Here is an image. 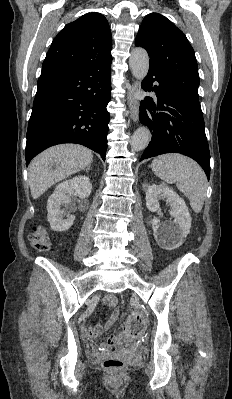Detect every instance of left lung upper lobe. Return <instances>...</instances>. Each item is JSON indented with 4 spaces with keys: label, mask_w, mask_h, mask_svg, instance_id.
Listing matches in <instances>:
<instances>
[{
    "label": "left lung upper lobe",
    "mask_w": 232,
    "mask_h": 399,
    "mask_svg": "<svg viewBox=\"0 0 232 399\" xmlns=\"http://www.w3.org/2000/svg\"><path fill=\"white\" fill-rule=\"evenodd\" d=\"M135 45L147 50L150 69L162 75L189 104L202 112L197 61L184 33L166 17L151 13L143 19Z\"/></svg>",
    "instance_id": "left-lung-upper-lobe-1"
}]
</instances>
